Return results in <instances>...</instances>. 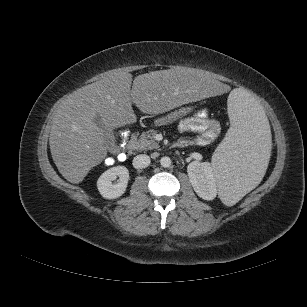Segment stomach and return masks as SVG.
Instances as JSON below:
<instances>
[{
    "label": "stomach",
    "mask_w": 307,
    "mask_h": 307,
    "mask_svg": "<svg viewBox=\"0 0 307 307\" xmlns=\"http://www.w3.org/2000/svg\"><path fill=\"white\" fill-rule=\"evenodd\" d=\"M190 111L189 108H182L177 111H174L167 116H163L161 118H158L155 120L154 124L156 126H162V125H167L170 123H173L174 121L178 120L182 116L186 115Z\"/></svg>",
    "instance_id": "stomach-1"
}]
</instances>
